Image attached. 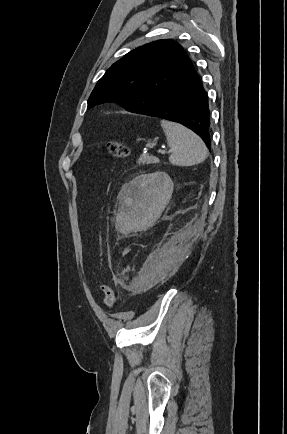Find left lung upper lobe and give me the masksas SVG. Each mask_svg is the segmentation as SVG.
Here are the masks:
<instances>
[{
	"label": "left lung upper lobe",
	"mask_w": 287,
	"mask_h": 434,
	"mask_svg": "<svg viewBox=\"0 0 287 434\" xmlns=\"http://www.w3.org/2000/svg\"><path fill=\"white\" fill-rule=\"evenodd\" d=\"M181 45L158 40L130 51L98 81L88 108L117 102L133 113L155 105L193 69Z\"/></svg>",
	"instance_id": "left-lung-upper-lobe-1"
}]
</instances>
